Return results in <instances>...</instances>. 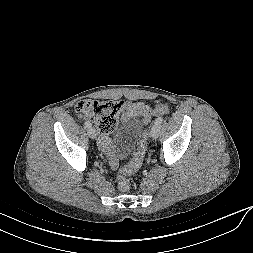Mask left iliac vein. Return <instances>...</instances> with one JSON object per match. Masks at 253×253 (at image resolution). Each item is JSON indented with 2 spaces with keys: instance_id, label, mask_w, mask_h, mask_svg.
Listing matches in <instances>:
<instances>
[{
  "instance_id": "4c4485c4",
  "label": "left iliac vein",
  "mask_w": 253,
  "mask_h": 253,
  "mask_svg": "<svg viewBox=\"0 0 253 253\" xmlns=\"http://www.w3.org/2000/svg\"><path fill=\"white\" fill-rule=\"evenodd\" d=\"M160 133V125L154 124L151 128L150 135L153 139H156Z\"/></svg>"
}]
</instances>
